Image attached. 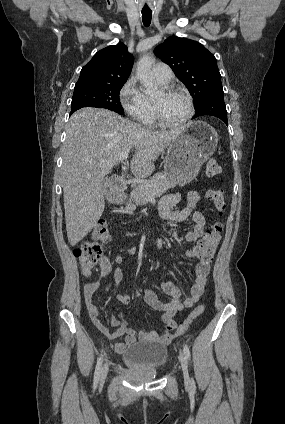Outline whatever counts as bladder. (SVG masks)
<instances>
[{"label":"bladder","mask_w":285,"mask_h":424,"mask_svg":"<svg viewBox=\"0 0 285 424\" xmlns=\"http://www.w3.org/2000/svg\"><path fill=\"white\" fill-rule=\"evenodd\" d=\"M169 357L167 345L157 341L136 342L128 346L122 355L125 366L133 371L144 370L159 373Z\"/></svg>","instance_id":"bladder-1"}]
</instances>
